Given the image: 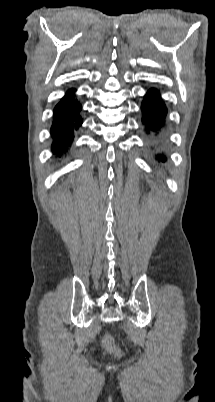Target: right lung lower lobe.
<instances>
[{"label":"right lung lower lobe","instance_id":"1","mask_svg":"<svg viewBox=\"0 0 215 402\" xmlns=\"http://www.w3.org/2000/svg\"><path fill=\"white\" fill-rule=\"evenodd\" d=\"M75 89H70L61 101L55 106L51 137L53 139L52 152L61 157L67 152L74 138V131L83 123L80 115L81 104L74 98Z\"/></svg>","mask_w":215,"mask_h":402}]
</instances>
